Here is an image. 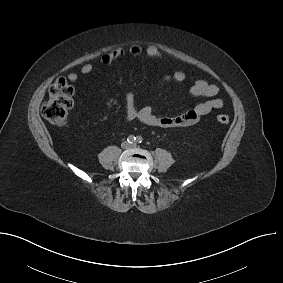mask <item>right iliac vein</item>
<instances>
[{
  "instance_id": "right-iliac-vein-1",
  "label": "right iliac vein",
  "mask_w": 283,
  "mask_h": 283,
  "mask_svg": "<svg viewBox=\"0 0 283 283\" xmlns=\"http://www.w3.org/2000/svg\"><path fill=\"white\" fill-rule=\"evenodd\" d=\"M121 146L122 148L126 149V148H129L130 145L128 144V142H123Z\"/></svg>"
}]
</instances>
